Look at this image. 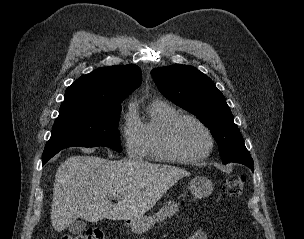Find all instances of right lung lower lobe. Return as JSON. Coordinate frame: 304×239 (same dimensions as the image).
Masks as SVG:
<instances>
[{
	"instance_id": "98d812e1",
	"label": "right lung lower lobe",
	"mask_w": 304,
	"mask_h": 239,
	"mask_svg": "<svg viewBox=\"0 0 304 239\" xmlns=\"http://www.w3.org/2000/svg\"><path fill=\"white\" fill-rule=\"evenodd\" d=\"M60 150L44 151L42 156V165H44L50 158L57 154Z\"/></svg>"
}]
</instances>
